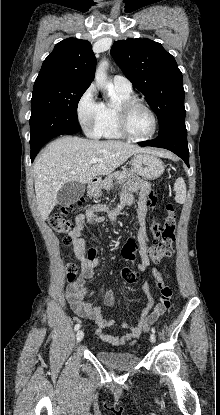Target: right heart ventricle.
I'll return each mask as SVG.
<instances>
[{"label":"right heart ventricle","mask_w":220,"mask_h":415,"mask_svg":"<svg viewBox=\"0 0 220 415\" xmlns=\"http://www.w3.org/2000/svg\"><path fill=\"white\" fill-rule=\"evenodd\" d=\"M132 98L131 92L124 93L113 90L112 101L103 104V117L99 127L98 137L107 139H120L123 136L119 133L116 125L115 109L118 103Z\"/></svg>","instance_id":"right-heart-ventricle-1"}]
</instances>
